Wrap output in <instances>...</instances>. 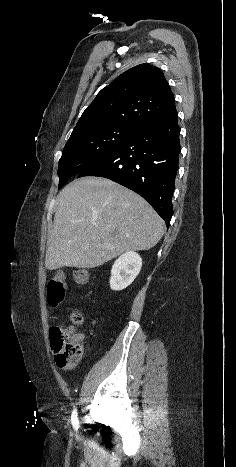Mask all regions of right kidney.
I'll return each mask as SVG.
<instances>
[{
    "label": "right kidney",
    "mask_w": 236,
    "mask_h": 467,
    "mask_svg": "<svg viewBox=\"0 0 236 467\" xmlns=\"http://www.w3.org/2000/svg\"><path fill=\"white\" fill-rule=\"evenodd\" d=\"M142 267V258L133 251L121 255L113 264L111 270L110 287L119 291L129 286Z\"/></svg>",
    "instance_id": "ca27d5eb"
}]
</instances>
